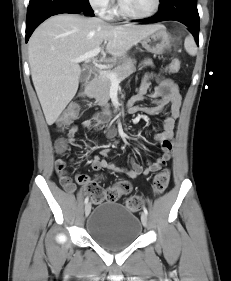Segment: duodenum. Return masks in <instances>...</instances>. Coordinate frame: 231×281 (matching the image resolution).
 <instances>
[{
    "label": "duodenum",
    "mask_w": 231,
    "mask_h": 281,
    "mask_svg": "<svg viewBox=\"0 0 231 281\" xmlns=\"http://www.w3.org/2000/svg\"><path fill=\"white\" fill-rule=\"evenodd\" d=\"M95 78H92L85 86L84 88L81 90L80 92V97L82 99H85L88 94H89V91H90V88H91V85L92 83L94 82ZM94 120L97 122V123H105L107 122L108 120V116L107 115H100V116H96L94 117Z\"/></svg>",
    "instance_id": "1"
}]
</instances>
